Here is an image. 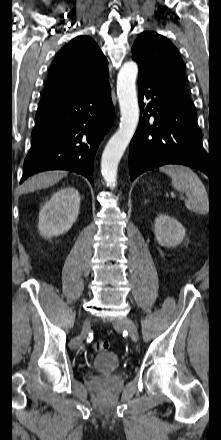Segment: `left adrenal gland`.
<instances>
[{"mask_svg": "<svg viewBox=\"0 0 221 440\" xmlns=\"http://www.w3.org/2000/svg\"><path fill=\"white\" fill-rule=\"evenodd\" d=\"M148 200H144V203H146Z\"/></svg>", "mask_w": 221, "mask_h": 440, "instance_id": "a2214340", "label": "left adrenal gland"}]
</instances>
